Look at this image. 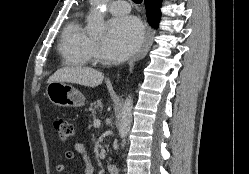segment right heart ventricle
<instances>
[{"mask_svg":"<svg viewBox=\"0 0 249 174\" xmlns=\"http://www.w3.org/2000/svg\"><path fill=\"white\" fill-rule=\"evenodd\" d=\"M92 40L86 32L81 18L76 16L64 28L59 51L64 62L73 66H86L91 61Z\"/></svg>","mask_w":249,"mask_h":174,"instance_id":"obj_1","label":"right heart ventricle"}]
</instances>
